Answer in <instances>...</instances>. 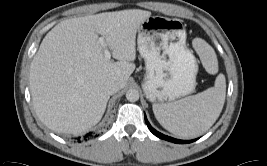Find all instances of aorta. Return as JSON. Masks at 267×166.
<instances>
[{
	"mask_svg": "<svg viewBox=\"0 0 267 166\" xmlns=\"http://www.w3.org/2000/svg\"><path fill=\"white\" fill-rule=\"evenodd\" d=\"M126 98L130 102H136L139 99V91L136 89H129L126 92Z\"/></svg>",
	"mask_w": 267,
	"mask_h": 166,
	"instance_id": "762f6f07",
	"label": "aorta"
}]
</instances>
